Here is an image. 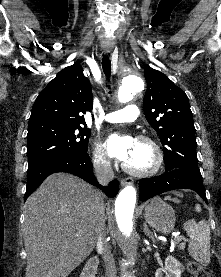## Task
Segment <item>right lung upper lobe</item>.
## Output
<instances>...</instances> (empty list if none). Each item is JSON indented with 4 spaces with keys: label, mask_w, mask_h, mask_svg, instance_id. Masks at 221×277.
<instances>
[{
    "label": "right lung upper lobe",
    "mask_w": 221,
    "mask_h": 277,
    "mask_svg": "<svg viewBox=\"0 0 221 277\" xmlns=\"http://www.w3.org/2000/svg\"><path fill=\"white\" fill-rule=\"evenodd\" d=\"M93 108L91 84L79 63L66 67L35 100L28 126L44 124L85 125L82 115Z\"/></svg>",
    "instance_id": "obj_1"
}]
</instances>
